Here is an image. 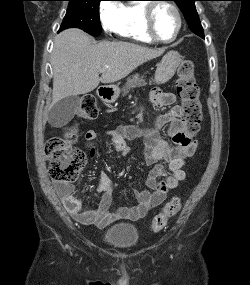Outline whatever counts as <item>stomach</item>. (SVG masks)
Returning a JSON list of instances; mask_svg holds the SVG:
<instances>
[{
  "mask_svg": "<svg viewBox=\"0 0 250 285\" xmlns=\"http://www.w3.org/2000/svg\"><path fill=\"white\" fill-rule=\"evenodd\" d=\"M181 62V56L176 51H169L162 58L155 71L154 82L158 85L167 83L175 74ZM119 96V88L113 87L108 96L109 102H114Z\"/></svg>",
  "mask_w": 250,
  "mask_h": 285,
  "instance_id": "obj_1",
  "label": "stomach"
}]
</instances>
